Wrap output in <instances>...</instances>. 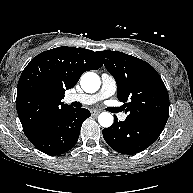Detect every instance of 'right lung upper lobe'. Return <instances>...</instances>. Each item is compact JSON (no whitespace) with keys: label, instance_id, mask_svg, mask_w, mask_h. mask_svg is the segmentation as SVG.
<instances>
[{"label":"right lung upper lobe","instance_id":"obj_1","mask_svg":"<svg viewBox=\"0 0 193 193\" xmlns=\"http://www.w3.org/2000/svg\"><path fill=\"white\" fill-rule=\"evenodd\" d=\"M102 65L95 52L84 48L58 47L34 57L17 87L16 108L26 137L40 133L71 109L62 102L65 90L71 89L85 71Z\"/></svg>","mask_w":193,"mask_h":193}]
</instances>
